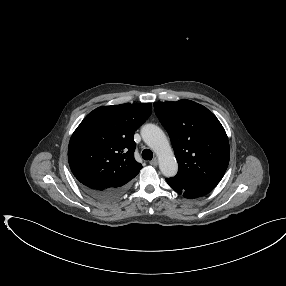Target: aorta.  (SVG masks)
Returning <instances> with one entry per match:
<instances>
[{"instance_id": "1", "label": "aorta", "mask_w": 286, "mask_h": 286, "mask_svg": "<svg viewBox=\"0 0 286 286\" xmlns=\"http://www.w3.org/2000/svg\"><path fill=\"white\" fill-rule=\"evenodd\" d=\"M141 135L144 142L156 153L161 173L166 177L175 176L178 163L162 129L154 124H146L141 129Z\"/></svg>"}]
</instances>
